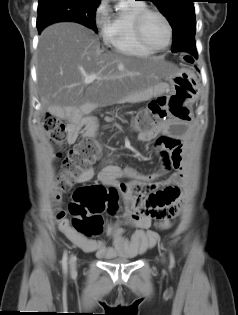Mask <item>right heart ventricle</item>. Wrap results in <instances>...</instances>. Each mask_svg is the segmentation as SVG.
I'll use <instances>...</instances> for the list:
<instances>
[{"label":"right heart ventricle","instance_id":"e07e8e85","mask_svg":"<svg viewBox=\"0 0 238 315\" xmlns=\"http://www.w3.org/2000/svg\"><path fill=\"white\" fill-rule=\"evenodd\" d=\"M146 5L138 0H126L125 7L118 10L102 29L104 43L113 51L132 56H150L154 52L142 46L136 38L134 20Z\"/></svg>","mask_w":238,"mask_h":315}]
</instances>
